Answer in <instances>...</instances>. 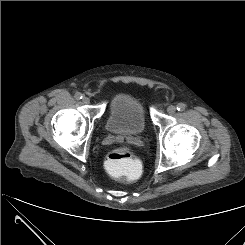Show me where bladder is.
<instances>
[{"label":"bladder","instance_id":"1","mask_svg":"<svg viewBox=\"0 0 245 245\" xmlns=\"http://www.w3.org/2000/svg\"><path fill=\"white\" fill-rule=\"evenodd\" d=\"M106 130L111 134L142 133L147 126V114L141 98L130 92L115 95L109 104Z\"/></svg>","mask_w":245,"mask_h":245}]
</instances>
